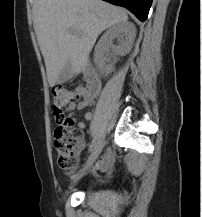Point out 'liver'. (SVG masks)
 Here are the masks:
<instances>
[{"instance_id": "1", "label": "liver", "mask_w": 202, "mask_h": 217, "mask_svg": "<svg viewBox=\"0 0 202 217\" xmlns=\"http://www.w3.org/2000/svg\"><path fill=\"white\" fill-rule=\"evenodd\" d=\"M33 15L51 87L68 62L75 76L84 71L101 32L128 19L123 9L102 0H35Z\"/></svg>"}]
</instances>
